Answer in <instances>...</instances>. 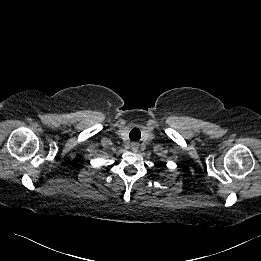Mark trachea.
I'll return each instance as SVG.
<instances>
[{"mask_svg": "<svg viewBox=\"0 0 261 261\" xmlns=\"http://www.w3.org/2000/svg\"><path fill=\"white\" fill-rule=\"evenodd\" d=\"M131 140L139 141L141 138V132L138 128H133L129 134Z\"/></svg>", "mask_w": 261, "mask_h": 261, "instance_id": "3493384b", "label": "trachea"}]
</instances>
